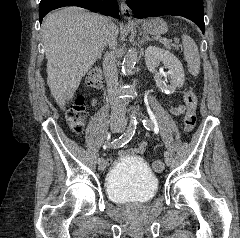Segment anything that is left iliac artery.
Listing matches in <instances>:
<instances>
[{
    "instance_id": "44dca946",
    "label": "left iliac artery",
    "mask_w": 240,
    "mask_h": 238,
    "mask_svg": "<svg viewBox=\"0 0 240 238\" xmlns=\"http://www.w3.org/2000/svg\"><path fill=\"white\" fill-rule=\"evenodd\" d=\"M142 124L143 126L147 129V130H154V128L152 127V122H150L149 119H143L142 120ZM164 156L165 157H168L169 156V153L167 151L164 152Z\"/></svg>"
}]
</instances>
